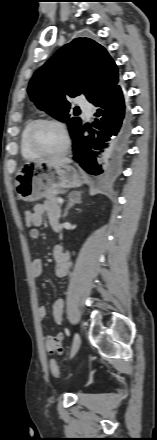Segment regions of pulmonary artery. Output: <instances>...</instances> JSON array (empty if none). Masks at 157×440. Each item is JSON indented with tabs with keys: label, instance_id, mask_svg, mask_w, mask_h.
<instances>
[{
	"label": "pulmonary artery",
	"instance_id": "e3ab8cb5",
	"mask_svg": "<svg viewBox=\"0 0 157 440\" xmlns=\"http://www.w3.org/2000/svg\"><path fill=\"white\" fill-rule=\"evenodd\" d=\"M78 104L86 112V115L89 117L92 113V106L83 97H79Z\"/></svg>",
	"mask_w": 157,
	"mask_h": 440
}]
</instances>
